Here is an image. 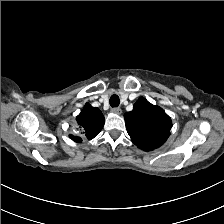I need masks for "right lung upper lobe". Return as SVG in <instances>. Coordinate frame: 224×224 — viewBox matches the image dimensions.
Returning a JSON list of instances; mask_svg holds the SVG:
<instances>
[{
    "mask_svg": "<svg viewBox=\"0 0 224 224\" xmlns=\"http://www.w3.org/2000/svg\"><path fill=\"white\" fill-rule=\"evenodd\" d=\"M76 121L84 137L91 140L101 131L104 125V116L98 108L86 103L83 110L76 117ZM69 137L75 142H82L81 137L73 135H69Z\"/></svg>",
    "mask_w": 224,
    "mask_h": 224,
    "instance_id": "obj_1",
    "label": "right lung upper lobe"
}]
</instances>
